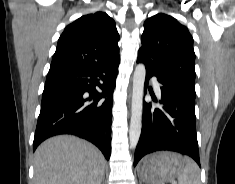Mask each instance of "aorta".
Returning a JSON list of instances; mask_svg holds the SVG:
<instances>
[{"label":"aorta","instance_id":"obj_1","mask_svg":"<svg viewBox=\"0 0 235 184\" xmlns=\"http://www.w3.org/2000/svg\"><path fill=\"white\" fill-rule=\"evenodd\" d=\"M145 76L146 70L144 64H138L135 68L132 86L131 122L129 130L130 148H136L141 134Z\"/></svg>","mask_w":235,"mask_h":184}]
</instances>
